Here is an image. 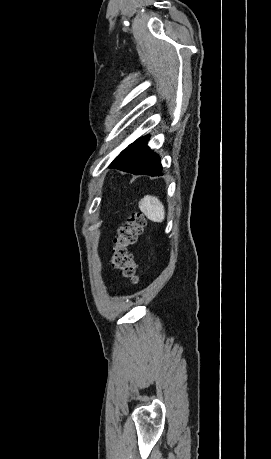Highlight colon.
Instances as JSON below:
<instances>
[{
  "label": "colon",
  "instance_id": "5ec220e1",
  "mask_svg": "<svg viewBox=\"0 0 271 459\" xmlns=\"http://www.w3.org/2000/svg\"><path fill=\"white\" fill-rule=\"evenodd\" d=\"M145 219L139 212L132 213L122 226L116 238L112 251L111 265L125 278L132 282L138 281V266L130 252V248L137 242L143 233Z\"/></svg>",
  "mask_w": 271,
  "mask_h": 459
}]
</instances>
